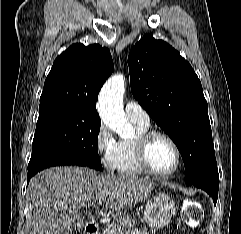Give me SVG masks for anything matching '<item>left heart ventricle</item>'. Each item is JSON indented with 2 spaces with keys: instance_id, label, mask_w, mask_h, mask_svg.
Returning a JSON list of instances; mask_svg holds the SVG:
<instances>
[{
  "instance_id": "left-heart-ventricle-1",
  "label": "left heart ventricle",
  "mask_w": 241,
  "mask_h": 234,
  "mask_svg": "<svg viewBox=\"0 0 241 234\" xmlns=\"http://www.w3.org/2000/svg\"><path fill=\"white\" fill-rule=\"evenodd\" d=\"M149 160L154 169L160 172L172 170L176 164V153L164 138H155L149 148Z\"/></svg>"
}]
</instances>
